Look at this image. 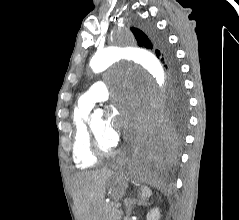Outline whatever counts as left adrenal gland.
Masks as SVG:
<instances>
[{
	"instance_id": "obj_1",
	"label": "left adrenal gland",
	"mask_w": 239,
	"mask_h": 220,
	"mask_svg": "<svg viewBox=\"0 0 239 220\" xmlns=\"http://www.w3.org/2000/svg\"><path fill=\"white\" fill-rule=\"evenodd\" d=\"M124 205L126 208V215L129 217L132 214V209L135 205H147V202L145 199L126 198L124 200Z\"/></svg>"
}]
</instances>
